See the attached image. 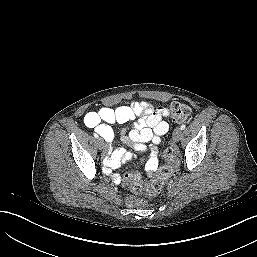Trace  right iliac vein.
Here are the masks:
<instances>
[{
    "mask_svg": "<svg viewBox=\"0 0 257 257\" xmlns=\"http://www.w3.org/2000/svg\"><path fill=\"white\" fill-rule=\"evenodd\" d=\"M97 144H98V146L101 150L105 149V143H104V140L102 138H98Z\"/></svg>",
    "mask_w": 257,
    "mask_h": 257,
    "instance_id": "right-iliac-vein-1",
    "label": "right iliac vein"
}]
</instances>
